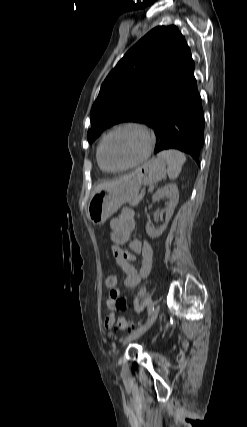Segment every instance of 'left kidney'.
<instances>
[{
	"label": "left kidney",
	"instance_id": "left-kidney-1",
	"mask_svg": "<svg viewBox=\"0 0 247 427\" xmlns=\"http://www.w3.org/2000/svg\"><path fill=\"white\" fill-rule=\"evenodd\" d=\"M162 198H168L169 202L166 205V221L165 224L159 228H153L149 223L146 224V233L152 239L158 238L166 230L170 219L173 216L174 209L178 204L179 191L178 187L174 183L166 184L156 191L153 195V201H160Z\"/></svg>",
	"mask_w": 247,
	"mask_h": 427
}]
</instances>
